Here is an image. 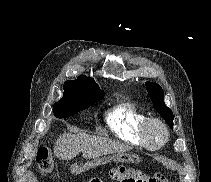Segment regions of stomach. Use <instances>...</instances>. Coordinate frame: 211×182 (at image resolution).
I'll use <instances>...</instances> for the list:
<instances>
[{"mask_svg": "<svg viewBox=\"0 0 211 182\" xmlns=\"http://www.w3.org/2000/svg\"><path fill=\"white\" fill-rule=\"evenodd\" d=\"M132 157H133L132 155L125 154V153H120V154L116 155L114 158L117 161L126 162V161H129Z\"/></svg>", "mask_w": 211, "mask_h": 182, "instance_id": "stomach-1", "label": "stomach"}]
</instances>
